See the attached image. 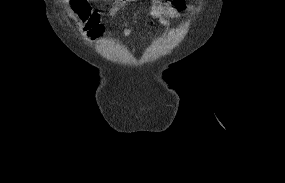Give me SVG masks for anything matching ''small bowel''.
<instances>
[{
	"label": "small bowel",
	"instance_id": "1",
	"mask_svg": "<svg viewBox=\"0 0 285 183\" xmlns=\"http://www.w3.org/2000/svg\"><path fill=\"white\" fill-rule=\"evenodd\" d=\"M135 0H115L114 4L109 10V15L114 17L117 15L125 6L127 2ZM186 5L183 1L182 7L178 8L174 3L173 4H163L158 0H152L151 9L148 14V20H155L160 22L164 26H170V19L182 18L181 12L185 9ZM136 30L135 26L126 27L123 30V36L128 37L134 33Z\"/></svg>",
	"mask_w": 285,
	"mask_h": 183
}]
</instances>
